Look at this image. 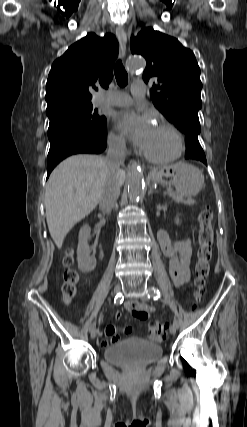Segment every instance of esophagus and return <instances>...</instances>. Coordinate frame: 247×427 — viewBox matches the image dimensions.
I'll return each mask as SVG.
<instances>
[{
    "mask_svg": "<svg viewBox=\"0 0 247 427\" xmlns=\"http://www.w3.org/2000/svg\"><path fill=\"white\" fill-rule=\"evenodd\" d=\"M116 36L120 42L121 49H122V57L125 60L126 54H127V36L124 28L117 27L116 28ZM139 166V163L135 160H131L128 163V168L134 169Z\"/></svg>",
    "mask_w": 247,
    "mask_h": 427,
    "instance_id": "obj_1",
    "label": "esophagus"
}]
</instances>
